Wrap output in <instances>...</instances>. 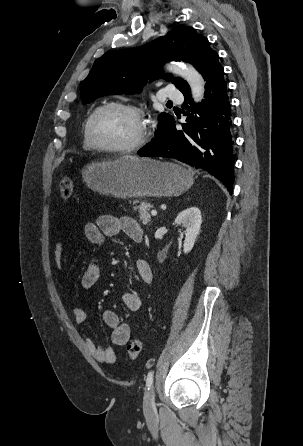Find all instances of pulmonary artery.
<instances>
[{"label": "pulmonary artery", "instance_id": "1", "mask_svg": "<svg viewBox=\"0 0 303 446\" xmlns=\"http://www.w3.org/2000/svg\"><path fill=\"white\" fill-rule=\"evenodd\" d=\"M163 98L180 102L183 100V95L174 86L169 85L163 89Z\"/></svg>", "mask_w": 303, "mask_h": 446}]
</instances>
